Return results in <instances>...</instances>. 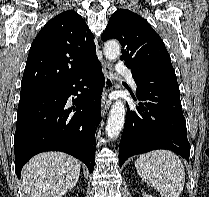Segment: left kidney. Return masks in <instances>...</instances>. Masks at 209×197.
Masks as SVG:
<instances>
[{
	"label": "left kidney",
	"instance_id": "obj_1",
	"mask_svg": "<svg viewBox=\"0 0 209 197\" xmlns=\"http://www.w3.org/2000/svg\"><path fill=\"white\" fill-rule=\"evenodd\" d=\"M143 197H152L151 195L145 194Z\"/></svg>",
	"mask_w": 209,
	"mask_h": 197
}]
</instances>
